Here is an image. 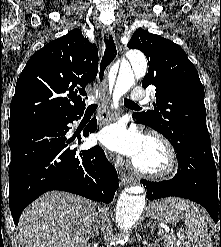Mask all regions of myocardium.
Segmentation results:
<instances>
[{
  "instance_id": "1",
  "label": "myocardium",
  "mask_w": 221,
  "mask_h": 247,
  "mask_svg": "<svg viewBox=\"0 0 221 247\" xmlns=\"http://www.w3.org/2000/svg\"><path fill=\"white\" fill-rule=\"evenodd\" d=\"M146 138L157 142L164 149L167 156V164L160 171H147L140 168L134 160H131L130 166L133 171L144 178L154 180L167 179L174 176L179 169V156L174 144L166 136L157 131H150Z\"/></svg>"
}]
</instances>
